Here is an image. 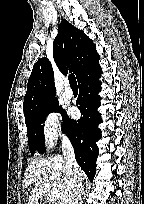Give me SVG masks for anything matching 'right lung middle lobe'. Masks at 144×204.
<instances>
[{"label":"right lung middle lobe","mask_w":144,"mask_h":204,"mask_svg":"<svg viewBox=\"0 0 144 204\" xmlns=\"http://www.w3.org/2000/svg\"><path fill=\"white\" fill-rule=\"evenodd\" d=\"M52 112H60L62 114L63 120L67 116L66 112L62 109L61 106H59V103L56 99L38 109L28 118H25L29 149L32 155H34L36 150L41 154H43L45 151L42 124L44 123L48 114Z\"/></svg>","instance_id":"right-lung-middle-lobe-1"}]
</instances>
